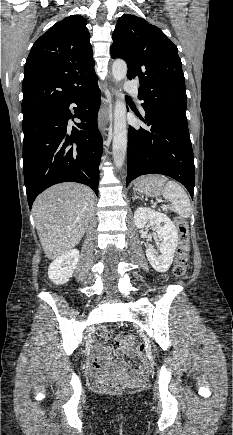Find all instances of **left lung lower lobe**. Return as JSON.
<instances>
[{"mask_svg":"<svg viewBox=\"0 0 233 435\" xmlns=\"http://www.w3.org/2000/svg\"><path fill=\"white\" fill-rule=\"evenodd\" d=\"M150 127H129L126 186L144 174H163L182 183L193 198L194 157L185 114L144 109Z\"/></svg>","mask_w":233,"mask_h":435,"instance_id":"obj_1","label":"left lung lower lobe"}]
</instances>
